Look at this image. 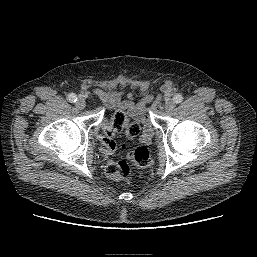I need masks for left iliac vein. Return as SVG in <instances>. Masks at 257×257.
<instances>
[{"label":"left iliac vein","instance_id":"1","mask_svg":"<svg viewBox=\"0 0 257 257\" xmlns=\"http://www.w3.org/2000/svg\"><path fill=\"white\" fill-rule=\"evenodd\" d=\"M164 108L166 112H171L175 108L174 101L172 100L167 101Z\"/></svg>","mask_w":257,"mask_h":257}]
</instances>
